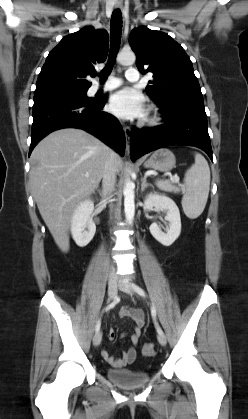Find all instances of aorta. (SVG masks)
I'll return each instance as SVG.
<instances>
[{
	"instance_id": "obj_1",
	"label": "aorta",
	"mask_w": 248,
	"mask_h": 419,
	"mask_svg": "<svg viewBox=\"0 0 248 419\" xmlns=\"http://www.w3.org/2000/svg\"><path fill=\"white\" fill-rule=\"evenodd\" d=\"M136 60L135 54L132 51H121L117 56V61L121 65H132ZM135 185L131 180H126L125 186L123 189L124 194V211L126 221L131 224L134 219L135 214V194H134Z\"/></svg>"
}]
</instances>
